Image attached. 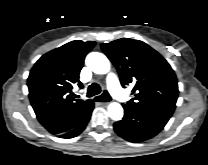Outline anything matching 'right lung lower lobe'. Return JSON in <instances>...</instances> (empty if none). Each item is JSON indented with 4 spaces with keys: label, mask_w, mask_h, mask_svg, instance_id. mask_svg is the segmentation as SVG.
I'll use <instances>...</instances> for the list:
<instances>
[{
    "label": "right lung lower lobe",
    "mask_w": 208,
    "mask_h": 165,
    "mask_svg": "<svg viewBox=\"0 0 208 165\" xmlns=\"http://www.w3.org/2000/svg\"><path fill=\"white\" fill-rule=\"evenodd\" d=\"M94 105L89 109L86 115L78 122V124L62 133L57 134V136L61 138H73L78 136L86 127L88 121L90 120L91 112L93 110Z\"/></svg>",
    "instance_id": "obj_1"
}]
</instances>
